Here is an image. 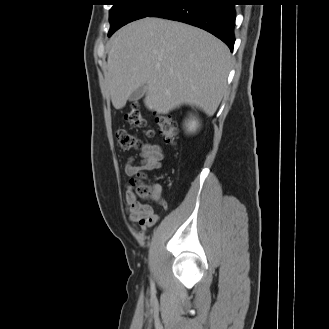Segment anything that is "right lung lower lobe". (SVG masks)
<instances>
[{
  "label": "right lung lower lobe",
  "instance_id": "1",
  "mask_svg": "<svg viewBox=\"0 0 329 329\" xmlns=\"http://www.w3.org/2000/svg\"><path fill=\"white\" fill-rule=\"evenodd\" d=\"M234 0H172L150 17L184 22L204 29L234 47Z\"/></svg>",
  "mask_w": 329,
  "mask_h": 329
}]
</instances>
